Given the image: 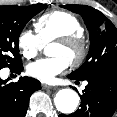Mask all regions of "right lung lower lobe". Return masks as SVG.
<instances>
[{"mask_svg":"<svg viewBox=\"0 0 117 117\" xmlns=\"http://www.w3.org/2000/svg\"><path fill=\"white\" fill-rule=\"evenodd\" d=\"M11 70L19 74L23 65L19 64ZM8 81L0 78V117H25L30 96L41 89V84L30 77H20L16 83Z\"/></svg>","mask_w":117,"mask_h":117,"instance_id":"right-lung-lower-lobe-1","label":"right lung lower lobe"}]
</instances>
